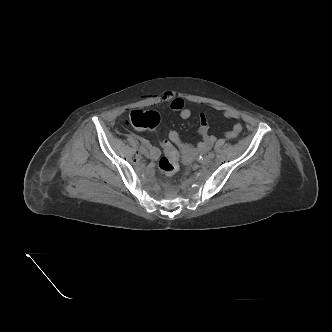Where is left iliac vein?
I'll use <instances>...</instances> for the list:
<instances>
[{
	"instance_id": "1",
	"label": "left iliac vein",
	"mask_w": 332,
	"mask_h": 332,
	"mask_svg": "<svg viewBox=\"0 0 332 332\" xmlns=\"http://www.w3.org/2000/svg\"><path fill=\"white\" fill-rule=\"evenodd\" d=\"M211 161V158L209 156H204L201 160L203 164H208Z\"/></svg>"
}]
</instances>
